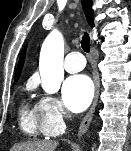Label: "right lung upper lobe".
<instances>
[{
	"label": "right lung upper lobe",
	"mask_w": 131,
	"mask_h": 151,
	"mask_svg": "<svg viewBox=\"0 0 131 151\" xmlns=\"http://www.w3.org/2000/svg\"><path fill=\"white\" fill-rule=\"evenodd\" d=\"M82 1V8L84 10L86 19L91 27H94V22H93V10H92V0H81ZM25 51L20 56L19 62H18V68L16 70V75H15V80H17L21 74V70L24 64V59H25Z\"/></svg>",
	"instance_id": "1"
}]
</instances>
